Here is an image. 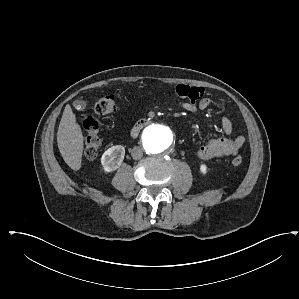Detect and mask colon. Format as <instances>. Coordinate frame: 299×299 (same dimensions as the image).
I'll list each match as a JSON object with an SVG mask.
<instances>
[{
    "instance_id": "1",
    "label": "colon",
    "mask_w": 299,
    "mask_h": 299,
    "mask_svg": "<svg viewBox=\"0 0 299 299\" xmlns=\"http://www.w3.org/2000/svg\"><path fill=\"white\" fill-rule=\"evenodd\" d=\"M116 100L112 95L101 97L94 105V114L101 116L113 113L116 110ZM83 128L85 130V144H84V156L87 159H94L98 156L101 148V138L99 135V125L93 115L88 114L83 118ZM243 159L241 156H235L232 160V164L235 167L241 166Z\"/></svg>"
}]
</instances>
